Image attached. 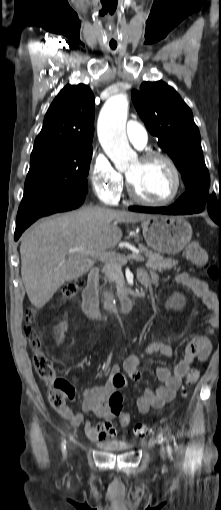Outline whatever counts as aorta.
Segmentation results:
<instances>
[{
    "label": "aorta",
    "instance_id": "1",
    "mask_svg": "<svg viewBox=\"0 0 221 510\" xmlns=\"http://www.w3.org/2000/svg\"><path fill=\"white\" fill-rule=\"evenodd\" d=\"M128 108L127 95L124 93L115 95L105 102L97 122L100 144L120 171L125 170L129 161L135 157L125 131ZM107 302L112 308L115 307L116 302L111 295H108Z\"/></svg>",
    "mask_w": 221,
    "mask_h": 510
}]
</instances>
